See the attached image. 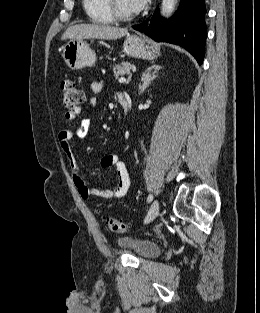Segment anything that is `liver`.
I'll return each mask as SVG.
<instances>
[{
    "label": "liver",
    "instance_id": "obj_1",
    "mask_svg": "<svg viewBox=\"0 0 260 313\" xmlns=\"http://www.w3.org/2000/svg\"><path fill=\"white\" fill-rule=\"evenodd\" d=\"M128 33L126 28H118L101 24H77L69 27L62 35L65 39H104L113 40L125 36Z\"/></svg>",
    "mask_w": 260,
    "mask_h": 313
}]
</instances>
